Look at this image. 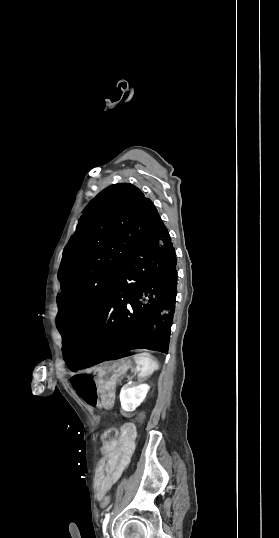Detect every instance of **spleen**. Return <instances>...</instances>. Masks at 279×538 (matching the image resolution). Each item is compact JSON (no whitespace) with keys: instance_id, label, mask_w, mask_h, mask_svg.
Returning a JSON list of instances; mask_svg holds the SVG:
<instances>
[{"instance_id":"spleen-1","label":"spleen","mask_w":279,"mask_h":538,"mask_svg":"<svg viewBox=\"0 0 279 538\" xmlns=\"http://www.w3.org/2000/svg\"><path fill=\"white\" fill-rule=\"evenodd\" d=\"M133 360H135V364L139 366V376H150V374H153V372L159 368L157 362H154L152 356L147 354V352L136 354V356H133Z\"/></svg>"}]
</instances>
